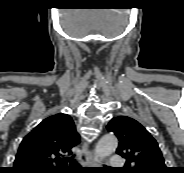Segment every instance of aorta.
Wrapping results in <instances>:
<instances>
[{"mask_svg": "<svg viewBox=\"0 0 184 173\" xmlns=\"http://www.w3.org/2000/svg\"><path fill=\"white\" fill-rule=\"evenodd\" d=\"M118 146V139L113 134L104 135L95 148L94 163L100 164L101 160L110 156Z\"/></svg>", "mask_w": 184, "mask_h": 173, "instance_id": "aorta-1", "label": "aorta"}]
</instances>
